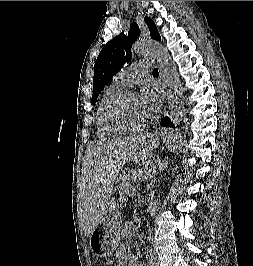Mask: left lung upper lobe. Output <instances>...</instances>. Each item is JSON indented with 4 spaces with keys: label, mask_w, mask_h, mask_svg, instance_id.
Returning a JSON list of instances; mask_svg holds the SVG:
<instances>
[{
    "label": "left lung upper lobe",
    "mask_w": 253,
    "mask_h": 266,
    "mask_svg": "<svg viewBox=\"0 0 253 266\" xmlns=\"http://www.w3.org/2000/svg\"><path fill=\"white\" fill-rule=\"evenodd\" d=\"M144 20L150 30L151 37L160 40L154 22L148 17H145ZM139 34L138 25L132 23L127 35L122 32L103 47L95 62L92 104L98 98L103 87L130 61L131 46L138 39Z\"/></svg>",
    "instance_id": "left-lung-upper-lobe-1"
}]
</instances>
